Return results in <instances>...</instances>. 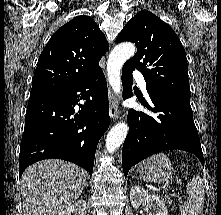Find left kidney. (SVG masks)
I'll list each match as a JSON object with an SVG mask.
<instances>
[{"label":"left kidney","mask_w":221,"mask_h":215,"mask_svg":"<svg viewBox=\"0 0 221 215\" xmlns=\"http://www.w3.org/2000/svg\"><path fill=\"white\" fill-rule=\"evenodd\" d=\"M130 201L133 208L137 209L141 204H146L154 211L153 215H168L167 208L159 196L150 195L147 190L134 186L130 191Z\"/></svg>","instance_id":"obj_1"}]
</instances>
